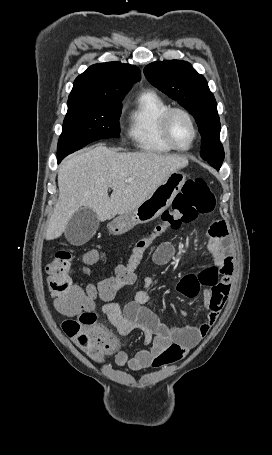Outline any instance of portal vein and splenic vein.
<instances>
[{
  "label": "portal vein and splenic vein",
  "mask_w": 272,
  "mask_h": 455,
  "mask_svg": "<svg viewBox=\"0 0 272 455\" xmlns=\"http://www.w3.org/2000/svg\"><path fill=\"white\" fill-rule=\"evenodd\" d=\"M131 181H132V179H127L125 182H131Z\"/></svg>",
  "instance_id": "obj_1"
}]
</instances>
